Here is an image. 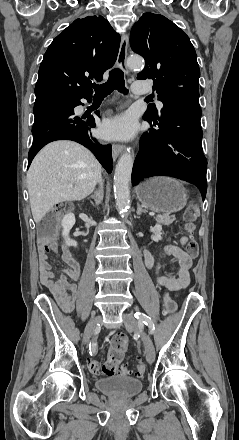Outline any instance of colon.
Returning <instances> with one entry per match:
<instances>
[{"instance_id":"5ec220e1","label":"colon","mask_w":239,"mask_h":440,"mask_svg":"<svg viewBox=\"0 0 239 440\" xmlns=\"http://www.w3.org/2000/svg\"><path fill=\"white\" fill-rule=\"evenodd\" d=\"M68 206L58 205L54 208L55 212H62L66 210ZM198 217L197 205H190L185 211V232L192 236L196 231V220ZM58 229V222L56 218L49 219L43 226L40 232V246H48ZM198 244L192 240L187 245V253L190 257L195 258L198 255ZM164 314H172L176 311V304L171 300L168 295L163 297ZM129 346V340L124 334L115 335L110 343L108 357L104 363H100L97 360L88 361V369L93 374H105L114 375L116 373H129V369L122 365V359L125 351ZM146 366L143 361H139L136 366V372L138 375H142L145 372Z\"/></svg>"}]
</instances>
